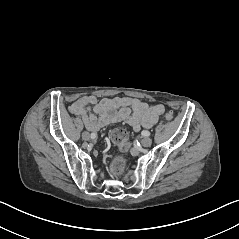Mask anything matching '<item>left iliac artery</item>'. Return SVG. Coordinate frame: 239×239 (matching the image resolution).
I'll use <instances>...</instances> for the list:
<instances>
[{"label":"left iliac artery","instance_id":"left-iliac-artery-1","mask_svg":"<svg viewBox=\"0 0 239 239\" xmlns=\"http://www.w3.org/2000/svg\"><path fill=\"white\" fill-rule=\"evenodd\" d=\"M141 134H142V136H144V137L150 136V132L147 131V130H143V131L141 132Z\"/></svg>","mask_w":239,"mask_h":239}]
</instances>
